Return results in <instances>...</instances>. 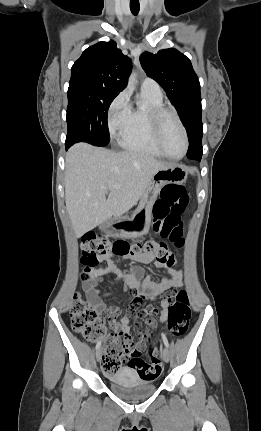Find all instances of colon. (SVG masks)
<instances>
[{
  "label": "colon",
  "mask_w": 261,
  "mask_h": 431,
  "mask_svg": "<svg viewBox=\"0 0 261 431\" xmlns=\"http://www.w3.org/2000/svg\"><path fill=\"white\" fill-rule=\"evenodd\" d=\"M188 200L187 191L183 186L166 184L161 189L160 198L153 208L152 228L154 233L164 239H169L177 248L184 245L181 214L185 211ZM80 248L81 262L89 269H96L100 260L111 255L119 258L149 255L161 263L173 265L175 262V256L170 252L167 244L154 239L130 244L125 240L111 242L104 236L88 234L81 239ZM163 301L167 303L168 309L166 320L168 332L175 338L184 335L191 317L187 292L181 290L175 293L168 290L164 294ZM70 316L74 331L87 341H94L99 336L105 335L102 354L104 372L109 374L116 372L122 361L126 359L128 367L136 370L142 383H156L160 380L162 367L154 347L149 352L151 362H145L140 356L141 353L133 347L130 335L122 331L107 333L104 319L90 307L80 294H76L74 297ZM137 318H141V316H137Z\"/></svg>",
  "instance_id": "1"
}]
</instances>
